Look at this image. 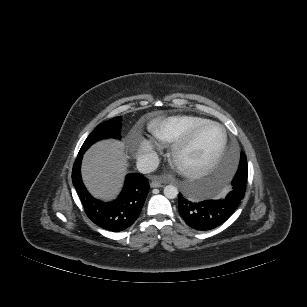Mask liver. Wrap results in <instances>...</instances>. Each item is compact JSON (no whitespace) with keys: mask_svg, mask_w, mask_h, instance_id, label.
<instances>
[{"mask_svg":"<svg viewBox=\"0 0 307 307\" xmlns=\"http://www.w3.org/2000/svg\"><path fill=\"white\" fill-rule=\"evenodd\" d=\"M127 158L124 143L113 140L98 142L85 153L82 178L94 197L109 200L118 194L127 170Z\"/></svg>","mask_w":307,"mask_h":307,"instance_id":"obj_1","label":"liver"}]
</instances>
